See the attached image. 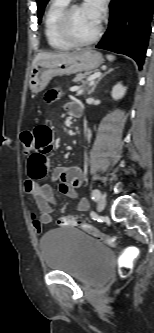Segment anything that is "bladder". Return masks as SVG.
Masks as SVG:
<instances>
[{"label":"bladder","mask_w":154,"mask_h":333,"mask_svg":"<svg viewBox=\"0 0 154 333\" xmlns=\"http://www.w3.org/2000/svg\"><path fill=\"white\" fill-rule=\"evenodd\" d=\"M39 247L47 269L93 281L110 275L114 254L103 242L68 225L45 233Z\"/></svg>","instance_id":"obj_1"}]
</instances>
